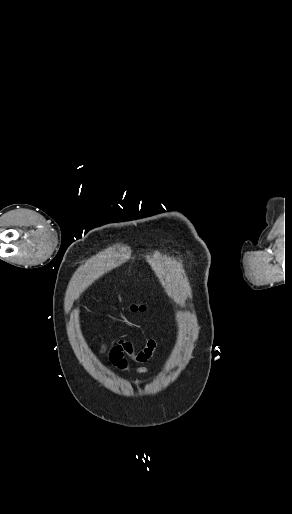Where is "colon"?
<instances>
[{
	"mask_svg": "<svg viewBox=\"0 0 292 514\" xmlns=\"http://www.w3.org/2000/svg\"><path fill=\"white\" fill-rule=\"evenodd\" d=\"M136 310H143V307L142 306H139V307H134Z\"/></svg>",
	"mask_w": 292,
	"mask_h": 514,
	"instance_id": "5ec220e1",
	"label": "colon"
}]
</instances>
